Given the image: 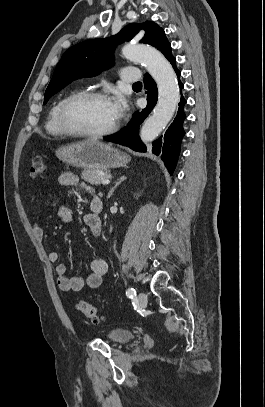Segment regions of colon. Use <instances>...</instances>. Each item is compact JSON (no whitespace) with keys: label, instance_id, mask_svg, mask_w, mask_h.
Wrapping results in <instances>:
<instances>
[{"label":"colon","instance_id":"1","mask_svg":"<svg viewBox=\"0 0 265 407\" xmlns=\"http://www.w3.org/2000/svg\"><path fill=\"white\" fill-rule=\"evenodd\" d=\"M45 167L40 156H34L30 164V176L32 178L40 177L44 174ZM75 308L80 311L87 319L93 323H98L102 320L98 310L88 303L86 300L77 299L74 303Z\"/></svg>","mask_w":265,"mask_h":407}]
</instances>
